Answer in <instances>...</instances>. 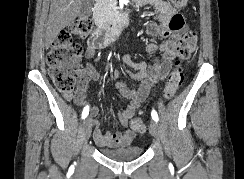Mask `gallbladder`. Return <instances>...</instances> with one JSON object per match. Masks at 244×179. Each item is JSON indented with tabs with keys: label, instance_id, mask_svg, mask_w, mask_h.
Returning a JSON list of instances; mask_svg holds the SVG:
<instances>
[{
	"label": "gallbladder",
	"instance_id": "gallbladder-1",
	"mask_svg": "<svg viewBox=\"0 0 244 179\" xmlns=\"http://www.w3.org/2000/svg\"><path fill=\"white\" fill-rule=\"evenodd\" d=\"M94 0H83L79 16H91Z\"/></svg>",
	"mask_w": 244,
	"mask_h": 179
}]
</instances>
